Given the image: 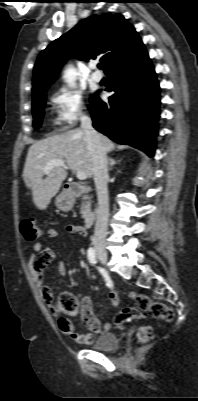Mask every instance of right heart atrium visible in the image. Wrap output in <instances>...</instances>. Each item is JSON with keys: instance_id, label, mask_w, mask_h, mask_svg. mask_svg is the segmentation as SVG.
I'll list each match as a JSON object with an SVG mask.
<instances>
[{"instance_id": "1", "label": "right heart atrium", "mask_w": 198, "mask_h": 401, "mask_svg": "<svg viewBox=\"0 0 198 401\" xmlns=\"http://www.w3.org/2000/svg\"><path fill=\"white\" fill-rule=\"evenodd\" d=\"M51 102L56 112V123L63 128L73 127L87 113L83 95L73 89L61 87L55 90Z\"/></svg>"}]
</instances>
